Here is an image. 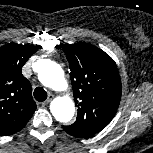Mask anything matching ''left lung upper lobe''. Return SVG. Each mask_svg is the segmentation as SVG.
Wrapping results in <instances>:
<instances>
[{
  "mask_svg": "<svg viewBox=\"0 0 153 153\" xmlns=\"http://www.w3.org/2000/svg\"><path fill=\"white\" fill-rule=\"evenodd\" d=\"M70 65L76 121L63 129L85 138L100 132L113 119L121 99V80L112 58L100 48L80 42L62 46Z\"/></svg>",
  "mask_w": 153,
  "mask_h": 153,
  "instance_id": "1",
  "label": "left lung upper lobe"
}]
</instances>
